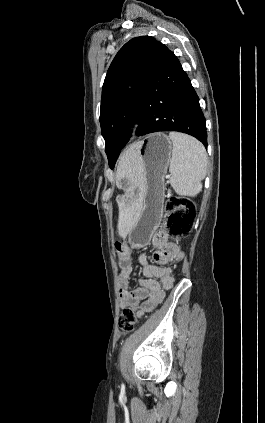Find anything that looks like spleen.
Wrapping results in <instances>:
<instances>
[{"instance_id": "obj_1", "label": "spleen", "mask_w": 265, "mask_h": 423, "mask_svg": "<svg viewBox=\"0 0 265 423\" xmlns=\"http://www.w3.org/2000/svg\"><path fill=\"white\" fill-rule=\"evenodd\" d=\"M169 138L173 144L170 184L178 195L194 197L206 176V150L197 139L182 133L170 132Z\"/></svg>"}]
</instances>
